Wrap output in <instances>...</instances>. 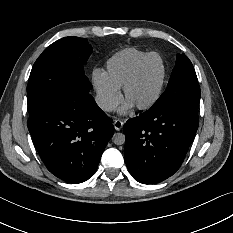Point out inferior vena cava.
Returning a JSON list of instances; mask_svg holds the SVG:
<instances>
[{"mask_svg":"<svg viewBox=\"0 0 233 233\" xmlns=\"http://www.w3.org/2000/svg\"><path fill=\"white\" fill-rule=\"evenodd\" d=\"M97 104L102 110L110 112L116 109L119 103L118 101H111L106 98H99L97 99Z\"/></svg>","mask_w":233,"mask_h":233,"instance_id":"obj_1","label":"inferior vena cava"}]
</instances>
